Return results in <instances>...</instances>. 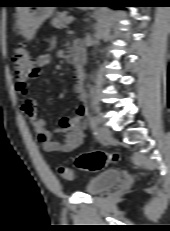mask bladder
Segmentation results:
<instances>
[{
	"label": "bladder",
	"mask_w": 170,
	"mask_h": 231,
	"mask_svg": "<svg viewBox=\"0 0 170 231\" xmlns=\"http://www.w3.org/2000/svg\"><path fill=\"white\" fill-rule=\"evenodd\" d=\"M121 178L122 174L119 170L110 169L91 178L86 184L85 190L89 195H98L112 188Z\"/></svg>",
	"instance_id": "31cf9c89"
}]
</instances>
